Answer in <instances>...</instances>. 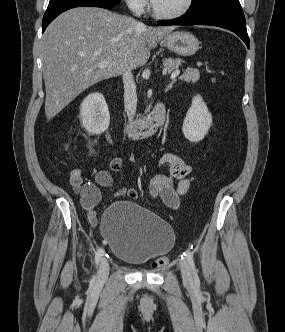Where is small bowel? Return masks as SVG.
I'll return each mask as SVG.
<instances>
[{"mask_svg":"<svg viewBox=\"0 0 285 332\" xmlns=\"http://www.w3.org/2000/svg\"><path fill=\"white\" fill-rule=\"evenodd\" d=\"M122 165V159L114 157L110 162V169L113 172H119L122 169ZM158 165H167L171 177L177 179L178 183L175 185L170 177L157 175L151 180L149 187L150 195L153 198H160L167 207L176 210L179 207L180 195L184 194L189 188L191 167L174 153L163 154L158 160ZM95 182L101 187L112 190L115 197H128L131 199L138 197V192L134 188L114 189L112 176L109 171H98L95 174ZM70 184L74 191L80 195L81 204L88 212L89 221L95 224L96 216L94 208L101 198L99 188L93 183L85 182L82 171L79 168L71 170Z\"/></svg>","mask_w":285,"mask_h":332,"instance_id":"obj_1","label":"small bowel"}]
</instances>
